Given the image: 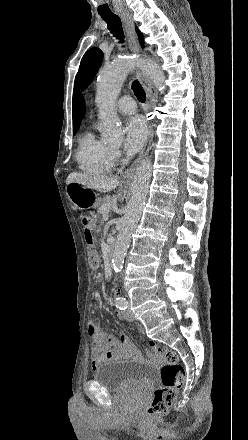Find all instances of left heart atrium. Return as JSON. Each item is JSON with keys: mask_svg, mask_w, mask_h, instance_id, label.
Returning <instances> with one entry per match:
<instances>
[{"mask_svg": "<svg viewBox=\"0 0 248 440\" xmlns=\"http://www.w3.org/2000/svg\"><path fill=\"white\" fill-rule=\"evenodd\" d=\"M124 149L128 155L135 154L138 152L147 136V129L145 122L139 116H134L130 118L124 128Z\"/></svg>", "mask_w": 248, "mask_h": 440, "instance_id": "39dd6f15", "label": "left heart atrium"}]
</instances>
